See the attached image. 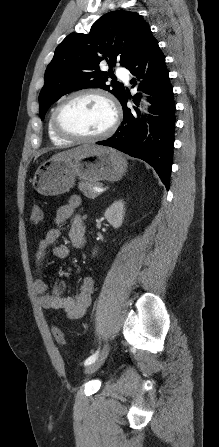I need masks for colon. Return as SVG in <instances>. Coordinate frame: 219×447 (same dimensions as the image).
<instances>
[{"mask_svg":"<svg viewBox=\"0 0 219 447\" xmlns=\"http://www.w3.org/2000/svg\"><path fill=\"white\" fill-rule=\"evenodd\" d=\"M43 220V212L42 209L39 205H34L32 207V211H31V222L33 224H39L41 223ZM52 333L53 336L55 338V340L60 344V345H64L65 344V338H64V334L62 332V330L58 327H54L52 329Z\"/></svg>","mask_w":219,"mask_h":447,"instance_id":"5ec220e1","label":"colon"}]
</instances>
